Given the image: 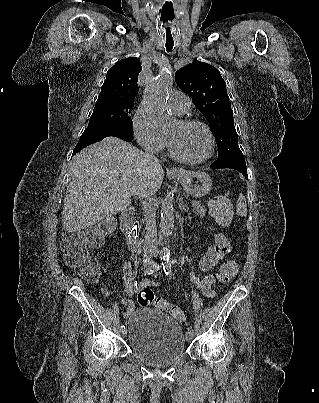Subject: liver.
I'll list each match as a JSON object with an SVG mask.
<instances>
[{"label":"liver","instance_id":"liver-1","mask_svg":"<svg viewBox=\"0 0 319 403\" xmlns=\"http://www.w3.org/2000/svg\"><path fill=\"white\" fill-rule=\"evenodd\" d=\"M164 172L145 153L116 137H107L77 153L64 199L63 229L74 232L124 211L143 184L160 188Z\"/></svg>","mask_w":319,"mask_h":403}]
</instances>
